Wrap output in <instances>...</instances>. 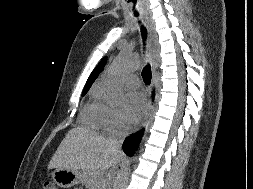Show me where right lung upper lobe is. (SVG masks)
Here are the masks:
<instances>
[{"label":"right lung upper lobe","mask_w":253,"mask_h":189,"mask_svg":"<svg viewBox=\"0 0 253 189\" xmlns=\"http://www.w3.org/2000/svg\"><path fill=\"white\" fill-rule=\"evenodd\" d=\"M106 57H104L101 62L96 66V68L93 70L91 75L89 76L87 83L84 87V90H89L91 87L92 83L95 81V79L98 77V75L102 72L105 64H106Z\"/></svg>","instance_id":"cb5924a9"}]
</instances>
